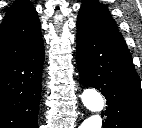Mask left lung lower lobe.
I'll list each match as a JSON object with an SVG mask.
<instances>
[{"instance_id":"left-lung-lower-lobe-1","label":"left lung lower lobe","mask_w":142,"mask_h":128,"mask_svg":"<svg viewBox=\"0 0 142 128\" xmlns=\"http://www.w3.org/2000/svg\"><path fill=\"white\" fill-rule=\"evenodd\" d=\"M81 83L107 99L104 128H142V92L126 43L106 39L77 24Z\"/></svg>"}]
</instances>
